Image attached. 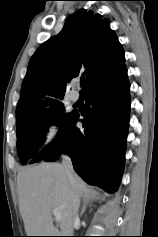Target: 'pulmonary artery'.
Masks as SVG:
<instances>
[{
	"instance_id": "obj_1",
	"label": "pulmonary artery",
	"mask_w": 158,
	"mask_h": 237,
	"mask_svg": "<svg viewBox=\"0 0 158 237\" xmlns=\"http://www.w3.org/2000/svg\"><path fill=\"white\" fill-rule=\"evenodd\" d=\"M70 100L72 102H77L79 100V93L76 91H73L70 93Z\"/></svg>"
}]
</instances>
